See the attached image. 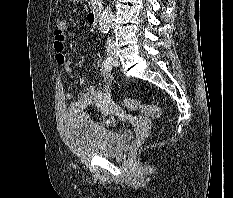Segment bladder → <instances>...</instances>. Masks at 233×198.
I'll list each match as a JSON object with an SVG mask.
<instances>
[{
    "mask_svg": "<svg viewBox=\"0 0 233 198\" xmlns=\"http://www.w3.org/2000/svg\"><path fill=\"white\" fill-rule=\"evenodd\" d=\"M65 125L70 145L85 155L118 157L132 140L131 132L97 123L82 112H67Z\"/></svg>",
    "mask_w": 233,
    "mask_h": 198,
    "instance_id": "1",
    "label": "bladder"
}]
</instances>
